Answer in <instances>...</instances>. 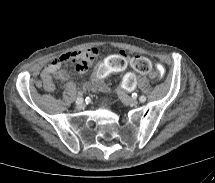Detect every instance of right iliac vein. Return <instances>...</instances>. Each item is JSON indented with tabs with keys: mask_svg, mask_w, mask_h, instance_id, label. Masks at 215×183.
<instances>
[{
	"mask_svg": "<svg viewBox=\"0 0 215 183\" xmlns=\"http://www.w3.org/2000/svg\"><path fill=\"white\" fill-rule=\"evenodd\" d=\"M83 107H84L83 102H81L80 104H77V109L81 110L83 109Z\"/></svg>",
	"mask_w": 215,
	"mask_h": 183,
	"instance_id": "63e3f726",
	"label": "right iliac vein"
}]
</instances>
